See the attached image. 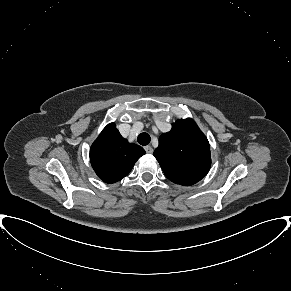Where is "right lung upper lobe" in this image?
<instances>
[{"mask_svg":"<svg viewBox=\"0 0 291 291\" xmlns=\"http://www.w3.org/2000/svg\"><path fill=\"white\" fill-rule=\"evenodd\" d=\"M145 154L140 146L129 143L108 124L90 149L91 165L98 177L106 183H115L125 177L136 161Z\"/></svg>","mask_w":291,"mask_h":291,"instance_id":"obj_1","label":"right lung upper lobe"}]
</instances>
